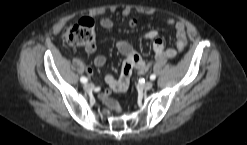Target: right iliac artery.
I'll return each mask as SVG.
<instances>
[{
	"instance_id": "82829eb1",
	"label": "right iliac artery",
	"mask_w": 247,
	"mask_h": 145,
	"mask_svg": "<svg viewBox=\"0 0 247 145\" xmlns=\"http://www.w3.org/2000/svg\"><path fill=\"white\" fill-rule=\"evenodd\" d=\"M80 81H81L82 83H86L88 80H87L86 77H81V78H80Z\"/></svg>"
}]
</instances>
